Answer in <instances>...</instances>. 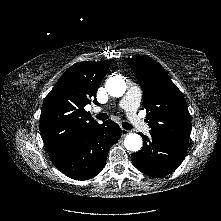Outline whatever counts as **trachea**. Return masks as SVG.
I'll return each instance as SVG.
<instances>
[{"label":"trachea","instance_id":"obj_1","mask_svg":"<svg viewBox=\"0 0 221 221\" xmlns=\"http://www.w3.org/2000/svg\"><path fill=\"white\" fill-rule=\"evenodd\" d=\"M96 118L99 120H106L108 118V115L106 113H100L96 115ZM122 126L127 130H131L133 128V126L127 122H123Z\"/></svg>","mask_w":221,"mask_h":221}]
</instances>
